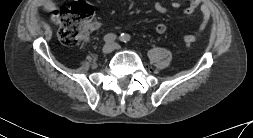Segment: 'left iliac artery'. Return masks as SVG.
<instances>
[{
	"mask_svg": "<svg viewBox=\"0 0 253 138\" xmlns=\"http://www.w3.org/2000/svg\"><path fill=\"white\" fill-rule=\"evenodd\" d=\"M119 39L124 42V43H127L129 40H130V36L128 34H121Z\"/></svg>",
	"mask_w": 253,
	"mask_h": 138,
	"instance_id": "44dca946",
	"label": "left iliac artery"
}]
</instances>
